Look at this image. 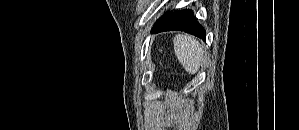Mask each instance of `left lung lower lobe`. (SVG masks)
<instances>
[{"instance_id":"0a47b994","label":"left lung lower lobe","mask_w":299,"mask_h":130,"mask_svg":"<svg viewBox=\"0 0 299 130\" xmlns=\"http://www.w3.org/2000/svg\"><path fill=\"white\" fill-rule=\"evenodd\" d=\"M184 31L201 39H205V29L197 22L191 10H182L165 15L157 21L152 33L163 31Z\"/></svg>"}]
</instances>
